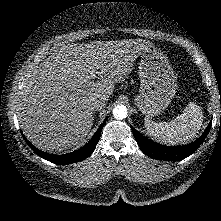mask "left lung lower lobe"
<instances>
[{
  "mask_svg": "<svg viewBox=\"0 0 221 221\" xmlns=\"http://www.w3.org/2000/svg\"><path fill=\"white\" fill-rule=\"evenodd\" d=\"M211 124L212 121L209 123L204 133L196 141L187 145L173 147L155 143L140 134L132 126L131 129L139 147L149 157L157 160L180 161L194 153L195 150L203 143L211 128Z\"/></svg>",
  "mask_w": 221,
  "mask_h": 221,
  "instance_id": "0a47b994",
  "label": "left lung lower lobe"
}]
</instances>
